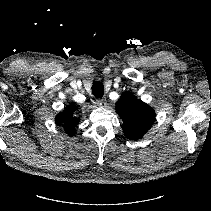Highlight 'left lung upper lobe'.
<instances>
[{
  "label": "left lung upper lobe",
  "instance_id": "5c2ea615",
  "mask_svg": "<svg viewBox=\"0 0 211 211\" xmlns=\"http://www.w3.org/2000/svg\"><path fill=\"white\" fill-rule=\"evenodd\" d=\"M116 111L123 120V132L128 139L137 140L155 121L154 110L130 93H123L116 103Z\"/></svg>",
  "mask_w": 211,
  "mask_h": 211
}]
</instances>
